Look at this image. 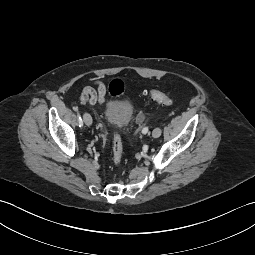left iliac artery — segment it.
I'll return each instance as SVG.
<instances>
[{"instance_id": "obj_1", "label": "left iliac artery", "mask_w": 255, "mask_h": 255, "mask_svg": "<svg viewBox=\"0 0 255 255\" xmlns=\"http://www.w3.org/2000/svg\"><path fill=\"white\" fill-rule=\"evenodd\" d=\"M142 132H143V133H147V132H148V127H147V126H144L143 129H142Z\"/></svg>"}]
</instances>
